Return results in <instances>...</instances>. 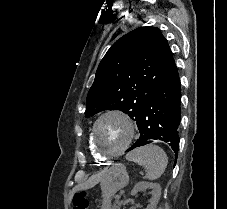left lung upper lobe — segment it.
I'll return each instance as SVG.
<instances>
[{
    "instance_id": "left-lung-upper-lobe-1",
    "label": "left lung upper lobe",
    "mask_w": 227,
    "mask_h": 209,
    "mask_svg": "<svg viewBox=\"0 0 227 209\" xmlns=\"http://www.w3.org/2000/svg\"><path fill=\"white\" fill-rule=\"evenodd\" d=\"M168 42L156 27L117 40L101 60L88 92L85 116L120 110L137 122L145 104L176 70Z\"/></svg>"
}]
</instances>
